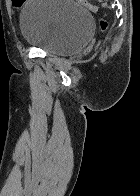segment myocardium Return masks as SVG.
Masks as SVG:
<instances>
[{
    "mask_svg": "<svg viewBox=\"0 0 140 196\" xmlns=\"http://www.w3.org/2000/svg\"><path fill=\"white\" fill-rule=\"evenodd\" d=\"M35 192H45V191H35ZM56 192H66V191H56Z\"/></svg>",
    "mask_w": 140,
    "mask_h": 196,
    "instance_id": "myocardium-1",
    "label": "myocardium"
}]
</instances>
